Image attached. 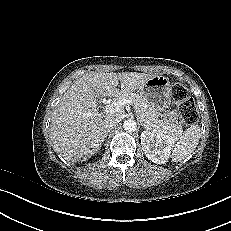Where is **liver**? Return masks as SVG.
Wrapping results in <instances>:
<instances>
[{
	"label": "liver",
	"mask_w": 231,
	"mask_h": 231,
	"mask_svg": "<svg viewBox=\"0 0 231 231\" xmlns=\"http://www.w3.org/2000/svg\"><path fill=\"white\" fill-rule=\"evenodd\" d=\"M153 74L138 72L83 75L65 92L51 117L54 150L67 161H80L96 153L105 138V120L115 114L100 113L97 96L119 97L141 89ZM120 82L121 89L117 86Z\"/></svg>",
	"instance_id": "6515ba94"
}]
</instances>
